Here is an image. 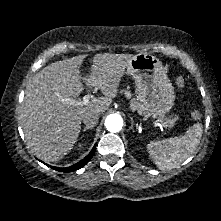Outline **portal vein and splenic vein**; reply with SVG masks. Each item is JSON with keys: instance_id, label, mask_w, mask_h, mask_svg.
<instances>
[{"instance_id": "18ae733b", "label": "portal vein and splenic vein", "mask_w": 221, "mask_h": 221, "mask_svg": "<svg viewBox=\"0 0 221 221\" xmlns=\"http://www.w3.org/2000/svg\"><path fill=\"white\" fill-rule=\"evenodd\" d=\"M68 102V100H66ZM90 101V96L89 95H85L82 99V101L80 102H76L78 105H87ZM158 123H160L161 125H163L164 127H167V123L164 122L163 120H157Z\"/></svg>"}]
</instances>
